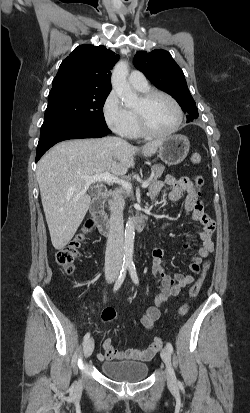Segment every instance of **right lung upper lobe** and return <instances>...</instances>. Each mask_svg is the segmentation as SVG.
<instances>
[{
	"mask_svg": "<svg viewBox=\"0 0 250 413\" xmlns=\"http://www.w3.org/2000/svg\"><path fill=\"white\" fill-rule=\"evenodd\" d=\"M119 55L104 46L80 45L64 59L53 79L52 89L76 85L85 89L111 91V69Z\"/></svg>",
	"mask_w": 250,
	"mask_h": 413,
	"instance_id": "obj_1",
	"label": "right lung upper lobe"
}]
</instances>
